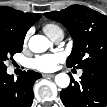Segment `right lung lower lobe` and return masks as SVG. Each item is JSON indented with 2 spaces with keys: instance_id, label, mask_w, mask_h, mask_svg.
<instances>
[{
  "instance_id": "1",
  "label": "right lung lower lobe",
  "mask_w": 107,
  "mask_h": 107,
  "mask_svg": "<svg viewBox=\"0 0 107 107\" xmlns=\"http://www.w3.org/2000/svg\"><path fill=\"white\" fill-rule=\"evenodd\" d=\"M41 74L23 72L16 81L6 69H0V107H30L33 102V85Z\"/></svg>"
}]
</instances>
